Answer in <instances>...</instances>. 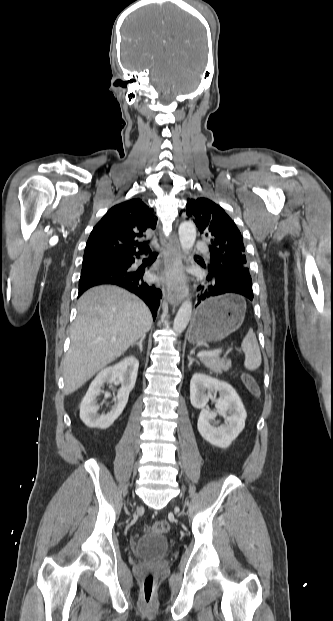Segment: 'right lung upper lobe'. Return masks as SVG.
<instances>
[{
  "label": "right lung upper lobe",
  "instance_id": "obj_1",
  "mask_svg": "<svg viewBox=\"0 0 333 621\" xmlns=\"http://www.w3.org/2000/svg\"><path fill=\"white\" fill-rule=\"evenodd\" d=\"M153 212L139 198L113 206L93 228L83 259L116 258L149 252L147 242H141L139 238L147 230L155 228L157 217Z\"/></svg>",
  "mask_w": 333,
  "mask_h": 621
}]
</instances>
